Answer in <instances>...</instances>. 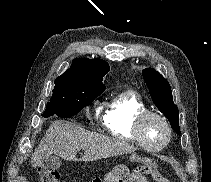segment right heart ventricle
<instances>
[{"label":"right heart ventricle","mask_w":211,"mask_h":182,"mask_svg":"<svg viewBox=\"0 0 211 182\" xmlns=\"http://www.w3.org/2000/svg\"><path fill=\"white\" fill-rule=\"evenodd\" d=\"M145 110H148L146 104L135 92H121L107 104L102 115L103 127L117 139L136 143L134 123Z\"/></svg>","instance_id":"e07e8e85"}]
</instances>
